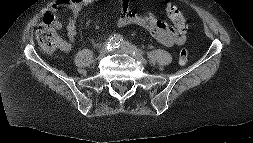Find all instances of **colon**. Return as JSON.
Segmentation results:
<instances>
[{"label": "colon", "mask_w": 253, "mask_h": 143, "mask_svg": "<svg viewBox=\"0 0 253 143\" xmlns=\"http://www.w3.org/2000/svg\"><path fill=\"white\" fill-rule=\"evenodd\" d=\"M173 15L177 22V27L181 30L186 29V24L182 21L179 10L176 8ZM36 38L42 51L46 53L53 52L59 45L60 40L54 26V15L52 12L45 13L42 22L36 29ZM189 51L183 48L179 54L181 64L187 63Z\"/></svg>", "instance_id": "obj_1"}]
</instances>
